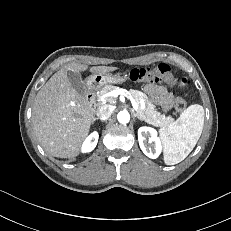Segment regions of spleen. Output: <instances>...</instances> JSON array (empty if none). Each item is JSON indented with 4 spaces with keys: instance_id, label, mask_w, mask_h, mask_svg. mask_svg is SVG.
I'll list each match as a JSON object with an SVG mask.
<instances>
[{
    "instance_id": "3e777b00",
    "label": "spleen",
    "mask_w": 231,
    "mask_h": 231,
    "mask_svg": "<svg viewBox=\"0 0 231 231\" xmlns=\"http://www.w3.org/2000/svg\"><path fill=\"white\" fill-rule=\"evenodd\" d=\"M203 126L204 109L194 104L184 110L175 123L161 128L165 164L175 165L183 161L195 147Z\"/></svg>"
}]
</instances>
